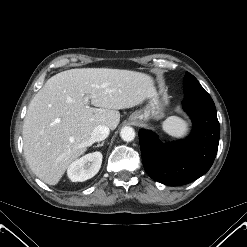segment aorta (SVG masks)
<instances>
[{"mask_svg":"<svg viewBox=\"0 0 247 247\" xmlns=\"http://www.w3.org/2000/svg\"><path fill=\"white\" fill-rule=\"evenodd\" d=\"M121 138L126 142H131L135 138V131L130 126H125L120 131Z\"/></svg>","mask_w":247,"mask_h":247,"instance_id":"aorta-1","label":"aorta"}]
</instances>
